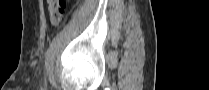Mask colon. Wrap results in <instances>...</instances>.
I'll use <instances>...</instances> for the list:
<instances>
[{
  "label": "colon",
  "mask_w": 209,
  "mask_h": 90,
  "mask_svg": "<svg viewBox=\"0 0 209 90\" xmlns=\"http://www.w3.org/2000/svg\"><path fill=\"white\" fill-rule=\"evenodd\" d=\"M67 0H49L48 1V12L49 18L53 25H58L63 22L65 18Z\"/></svg>",
  "instance_id": "1"
}]
</instances>
